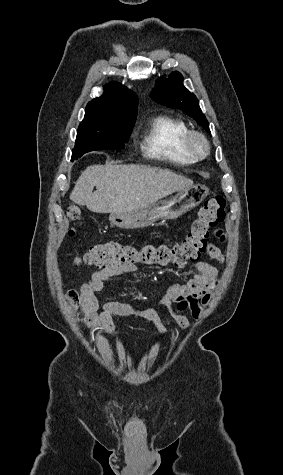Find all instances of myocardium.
Returning a JSON list of instances; mask_svg holds the SVG:
<instances>
[{
  "mask_svg": "<svg viewBox=\"0 0 283 475\" xmlns=\"http://www.w3.org/2000/svg\"><path fill=\"white\" fill-rule=\"evenodd\" d=\"M177 151H183L188 156L195 159H202L208 156L210 152V143L206 136L198 130H189L181 139L176 147ZM161 156L165 159L176 161L178 159L176 151L165 146Z\"/></svg>",
  "mask_w": 283,
  "mask_h": 475,
  "instance_id": "1",
  "label": "myocardium"
}]
</instances>
